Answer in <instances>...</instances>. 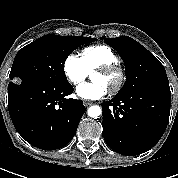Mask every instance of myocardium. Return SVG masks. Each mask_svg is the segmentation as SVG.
Masks as SVG:
<instances>
[{
    "mask_svg": "<svg viewBox=\"0 0 178 178\" xmlns=\"http://www.w3.org/2000/svg\"><path fill=\"white\" fill-rule=\"evenodd\" d=\"M94 72L114 75L116 77L115 83L110 89L111 93L118 92L125 82V71L118 63H110L99 66L94 70Z\"/></svg>",
    "mask_w": 178,
    "mask_h": 178,
    "instance_id": "1",
    "label": "myocardium"
}]
</instances>
